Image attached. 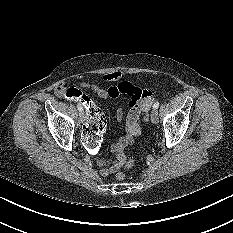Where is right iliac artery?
I'll use <instances>...</instances> for the list:
<instances>
[{
    "label": "right iliac artery",
    "mask_w": 233,
    "mask_h": 233,
    "mask_svg": "<svg viewBox=\"0 0 233 233\" xmlns=\"http://www.w3.org/2000/svg\"><path fill=\"white\" fill-rule=\"evenodd\" d=\"M77 108H78L79 112L83 111V108H82V106L80 104H77Z\"/></svg>",
    "instance_id": "right-iliac-artery-1"
}]
</instances>
